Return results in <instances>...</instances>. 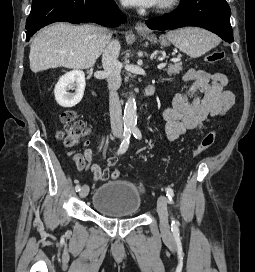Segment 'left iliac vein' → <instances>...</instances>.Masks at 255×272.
Listing matches in <instances>:
<instances>
[{"label": "left iliac vein", "instance_id": "obj_1", "mask_svg": "<svg viewBox=\"0 0 255 272\" xmlns=\"http://www.w3.org/2000/svg\"><path fill=\"white\" fill-rule=\"evenodd\" d=\"M157 209L160 217V229L161 232L166 236L170 237L171 232L169 228L168 222V214H167V197L164 195L159 196L157 201Z\"/></svg>", "mask_w": 255, "mask_h": 272}]
</instances>
